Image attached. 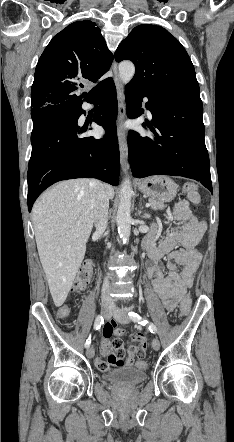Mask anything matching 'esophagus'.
<instances>
[{
	"instance_id": "34e87169",
	"label": "esophagus",
	"mask_w": 234,
	"mask_h": 442,
	"mask_svg": "<svg viewBox=\"0 0 234 442\" xmlns=\"http://www.w3.org/2000/svg\"><path fill=\"white\" fill-rule=\"evenodd\" d=\"M112 70L114 74V82L117 90L118 100V131H119V149H120V164L124 173L128 172L129 165L127 161L128 149L126 134L123 129V122L126 114L124 87L118 74L117 64L113 62Z\"/></svg>"
}]
</instances>
